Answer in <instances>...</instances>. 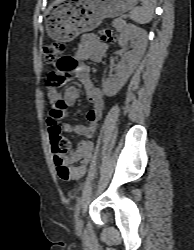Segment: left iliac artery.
<instances>
[{"label": "left iliac artery", "mask_w": 194, "mask_h": 250, "mask_svg": "<svg viewBox=\"0 0 194 250\" xmlns=\"http://www.w3.org/2000/svg\"><path fill=\"white\" fill-rule=\"evenodd\" d=\"M81 203H82L81 198H78V201H77V204H76V207H75V219L78 218L79 211H80V208H81Z\"/></svg>", "instance_id": "1"}]
</instances>
